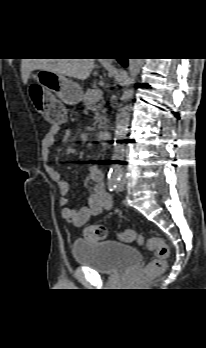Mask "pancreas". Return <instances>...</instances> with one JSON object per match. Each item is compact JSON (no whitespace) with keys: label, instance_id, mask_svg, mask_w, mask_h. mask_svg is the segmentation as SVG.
<instances>
[{"label":"pancreas","instance_id":"obj_1","mask_svg":"<svg viewBox=\"0 0 206 348\" xmlns=\"http://www.w3.org/2000/svg\"><path fill=\"white\" fill-rule=\"evenodd\" d=\"M92 89H87L86 92L83 94V103L85 107L88 110H92L94 113V126L97 127V129H103L107 123V117H106V109L104 108V102L103 101H93L91 100L92 97Z\"/></svg>","mask_w":206,"mask_h":348}]
</instances>
